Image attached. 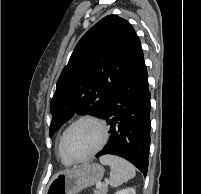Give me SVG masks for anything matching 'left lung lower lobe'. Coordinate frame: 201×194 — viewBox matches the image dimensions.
<instances>
[{
    "label": "left lung lower lobe",
    "instance_id": "0a47b994",
    "mask_svg": "<svg viewBox=\"0 0 201 194\" xmlns=\"http://www.w3.org/2000/svg\"><path fill=\"white\" fill-rule=\"evenodd\" d=\"M150 98L148 74L141 49L101 115L108 122L111 135L97 157L105 154L120 156L146 176L151 125Z\"/></svg>",
    "mask_w": 201,
    "mask_h": 194
}]
</instances>
